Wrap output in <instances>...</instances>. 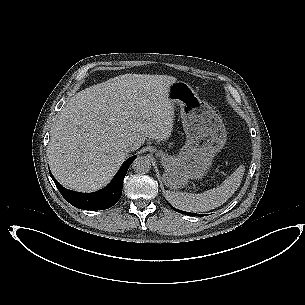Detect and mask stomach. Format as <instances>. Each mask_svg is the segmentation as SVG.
I'll use <instances>...</instances> for the list:
<instances>
[{
	"label": "stomach",
	"instance_id": "0dacf381",
	"mask_svg": "<svg viewBox=\"0 0 305 305\" xmlns=\"http://www.w3.org/2000/svg\"><path fill=\"white\" fill-rule=\"evenodd\" d=\"M166 98L180 107L186 143L176 155L159 152L158 156L165 170L164 183L171 189H180L208 172L212 159L226 142V132L216 112L188 83L175 81L170 84Z\"/></svg>",
	"mask_w": 305,
	"mask_h": 305
}]
</instances>
